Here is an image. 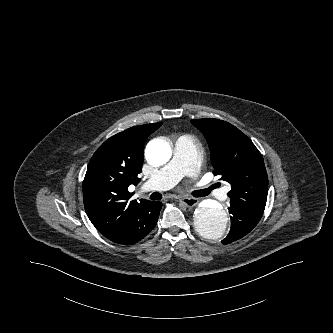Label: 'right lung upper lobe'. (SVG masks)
Returning a JSON list of instances; mask_svg holds the SVG:
<instances>
[{"mask_svg":"<svg viewBox=\"0 0 333 333\" xmlns=\"http://www.w3.org/2000/svg\"><path fill=\"white\" fill-rule=\"evenodd\" d=\"M161 122L131 127L106 140L94 153L83 181L84 206L92 224L101 233L108 232L138 203L130 201L131 184L143 162V147L147 137Z\"/></svg>","mask_w":333,"mask_h":333,"instance_id":"cb5924a9","label":"right lung upper lobe"}]
</instances>
